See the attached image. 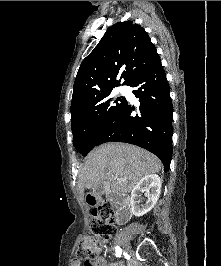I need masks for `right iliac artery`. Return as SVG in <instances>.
<instances>
[{
	"instance_id": "1",
	"label": "right iliac artery",
	"mask_w": 221,
	"mask_h": 266,
	"mask_svg": "<svg viewBox=\"0 0 221 266\" xmlns=\"http://www.w3.org/2000/svg\"><path fill=\"white\" fill-rule=\"evenodd\" d=\"M115 252H116V256H117V257H120L121 254H122V249H121L119 246H117V247L115 248Z\"/></svg>"
}]
</instances>
